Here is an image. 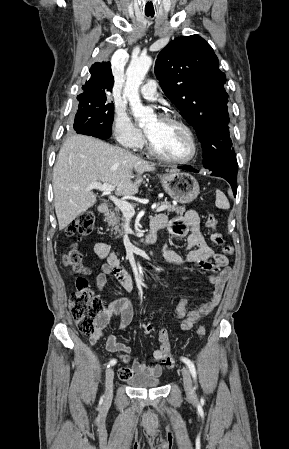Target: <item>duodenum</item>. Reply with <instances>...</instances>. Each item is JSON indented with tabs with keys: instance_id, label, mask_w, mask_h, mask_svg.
I'll use <instances>...</instances> for the list:
<instances>
[{
	"instance_id": "obj_1",
	"label": "duodenum",
	"mask_w": 289,
	"mask_h": 449,
	"mask_svg": "<svg viewBox=\"0 0 289 449\" xmlns=\"http://www.w3.org/2000/svg\"><path fill=\"white\" fill-rule=\"evenodd\" d=\"M100 213L103 215H108L110 213V208L107 205H102L100 207ZM160 229L159 225L151 224L149 233L142 240L143 245L153 244L157 240V232Z\"/></svg>"
}]
</instances>
